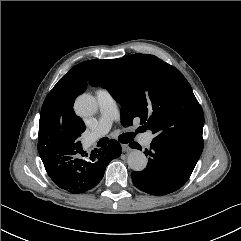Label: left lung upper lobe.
<instances>
[{"label":"left lung upper lobe","instance_id":"left-lung-upper-lobe-1","mask_svg":"<svg viewBox=\"0 0 241 241\" xmlns=\"http://www.w3.org/2000/svg\"><path fill=\"white\" fill-rule=\"evenodd\" d=\"M91 86H101L121 104V120L139 117L160 140L197 153L203 150L204 114L192 88L175 67L153 55L101 60Z\"/></svg>","mask_w":241,"mask_h":241}]
</instances>
